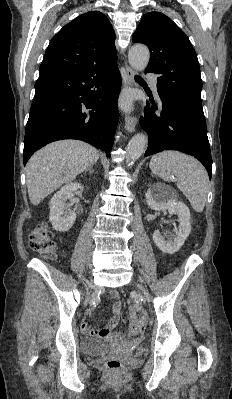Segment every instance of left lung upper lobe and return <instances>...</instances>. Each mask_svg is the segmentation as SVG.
I'll return each instance as SVG.
<instances>
[{
    "label": "left lung upper lobe",
    "instance_id": "obj_1",
    "mask_svg": "<svg viewBox=\"0 0 232 399\" xmlns=\"http://www.w3.org/2000/svg\"><path fill=\"white\" fill-rule=\"evenodd\" d=\"M132 41L148 46L151 55L145 71L159 75L157 90L205 121L199 62L187 35L166 15L149 12L141 19Z\"/></svg>",
    "mask_w": 232,
    "mask_h": 399
}]
</instances>
